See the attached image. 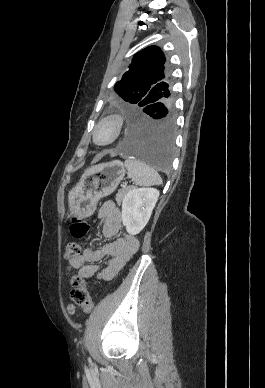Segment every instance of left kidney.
<instances>
[{
  "mask_svg": "<svg viewBox=\"0 0 265 388\" xmlns=\"http://www.w3.org/2000/svg\"><path fill=\"white\" fill-rule=\"evenodd\" d=\"M159 198L155 188H131L124 196L122 222L128 234L136 236L145 228Z\"/></svg>",
  "mask_w": 265,
  "mask_h": 388,
  "instance_id": "1",
  "label": "left kidney"
}]
</instances>
